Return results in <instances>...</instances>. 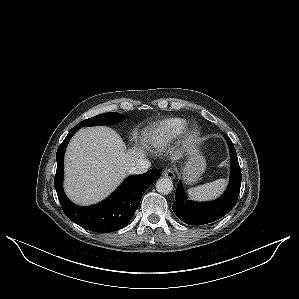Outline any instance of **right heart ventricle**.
I'll return each instance as SVG.
<instances>
[{"mask_svg":"<svg viewBox=\"0 0 299 299\" xmlns=\"http://www.w3.org/2000/svg\"><path fill=\"white\" fill-rule=\"evenodd\" d=\"M188 121L184 118H168L155 123L149 132L148 144L153 151L167 149L185 130Z\"/></svg>","mask_w":299,"mask_h":299,"instance_id":"obj_1","label":"right heart ventricle"}]
</instances>
